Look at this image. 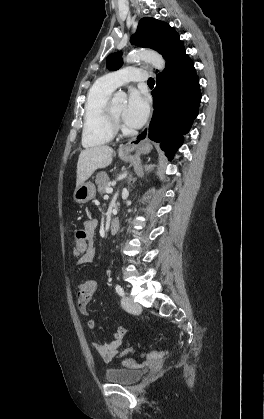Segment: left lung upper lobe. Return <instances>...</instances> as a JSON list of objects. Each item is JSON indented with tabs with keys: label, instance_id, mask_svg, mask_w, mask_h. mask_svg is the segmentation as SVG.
Returning <instances> with one entry per match:
<instances>
[{
	"label": "left lung upper lobe",
	"instance_id": "5c2ea615",
	"mask_svg": "<svg viewBox=\"0 0 264 419\" xmlns=\"http://www.w3.org/2000/svg\"><path fill=\"white\" fill-rule=\"evenodd\" d=\"M178 38V33L167 23L145 17L139 21L137 31L131 37V43L139 47L154 49L162 54ZM121 56V52L109 55L106 61L107 68L118 70L122 66Z\"/></svg>",
	"mask_w": 264,
	"mask_h": 419
}]
</instances>
